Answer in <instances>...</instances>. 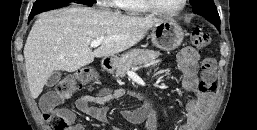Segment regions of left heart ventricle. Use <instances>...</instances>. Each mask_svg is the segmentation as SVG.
Returning a JSON list of instances; mask_svg holds the SVG:
<instances>
[{
	"instance_id": "left-heart-ventricle-1",
	"label": "left heart ventricle",
	"mask_w": 257,
	"mask_h": 130,
	"mask_svg": "<svg viewBox=\"0 0 257 130\" xmlns=\"http://www.w3.org/2000/svg\"><path fill=\"white\" fill-rule=\"evenodd\" d=\"M154 1L158 7L168 11L177 9L182 3V0H154Z\"/></svg>"
}]
</instances>
